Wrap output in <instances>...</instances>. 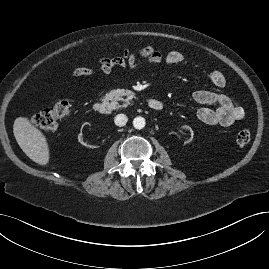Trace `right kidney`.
Here are the masks:
<instances>
[{"instance_id": "ca27d5eb", "label": "right kidney", "mask_w": 269, "mask_h": 269, "mask_svg": "<svg viewBox=\"0 0 269 269\" xmlns=\"http://www.w3.org/2000/svg\"><path fill=\"white\" fill-rule=\"evenodd\" d=\"M86 125H90V123L88 122H85L82 127H81V133L78 135V141L82 144V145H86L88 147V149L90 150H93L95 149V147H101V144H95V142L93 141H88V140H85L83 141V137H82V128Z\"/></svg>"}]
</instances>
